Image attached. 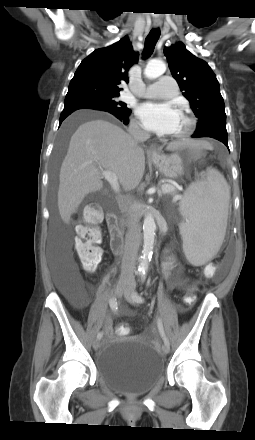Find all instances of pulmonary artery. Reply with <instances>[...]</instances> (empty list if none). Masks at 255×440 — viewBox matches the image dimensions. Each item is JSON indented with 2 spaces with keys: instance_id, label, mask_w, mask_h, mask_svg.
Listing matches in <instances>:
<instances>
[{
  "instance_id": "pulmonary-artery-1",
  "label": "pulmonary artery",
  "mask_w": 255,
  "mask_h": 440,
  "mask_svg": "<svg viewBox=\"0 0 255 440\" xmlns=\"http://www.w3.org/2000/svg\"><path fill=\"white\" fill-rule=\"evenodd\" d=\"M178 94V86L175 79L171 76L164 75L159 81L149 85L139 95L146 98L166 99L172 98Z\"/></svg>"
}]
</instances>
